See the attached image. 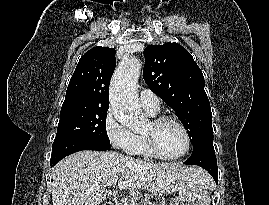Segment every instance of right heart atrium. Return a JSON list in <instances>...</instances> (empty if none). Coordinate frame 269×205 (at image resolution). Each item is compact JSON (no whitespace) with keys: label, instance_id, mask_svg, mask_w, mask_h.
<instances>
[{"label":"right heart atrium","instance_id":"1","mask_svg":"<svg viewBox=\"0 0 269 205\" xmlns=\"http://www.w3.org/2000/svg\"><path fill=\"white\" fill-rule=\"evenodd\" d=\"M103 126L106 137L114 148L128 151L132 147L135 135L119 122L112 107L106 111Z\"/></svg>","mask_w":269,"mask_h":205}]
</instances>
